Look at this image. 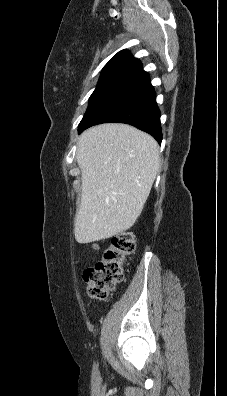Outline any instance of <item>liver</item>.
Returning a JSON list of instances; mask_svg holds the SVG:
<instances>
[{
	"label": "liver",
	"mask_w": 227,
	"mask_h": 396,
	"mask_svg": "<svg viewBox=\"0 0 227 396\" xmlns=\"http://www.w3.org/2000/svg\"><path fill=\"white\" fill-rule=\"evenodd\" d=\"M77 145L82 196L74 233L85 244L134 225L159 170V147L145 132L117 123L89 128Z\"/></svg>",
	"instance_id": "obj_1"
}]
</instances>
